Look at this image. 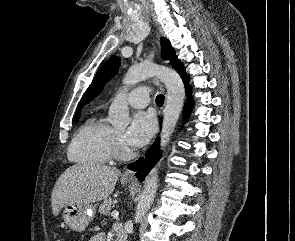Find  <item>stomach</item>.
Here are the masks:
<instances>
[{"instance_id": "stomach-1", "label": "stomach", "mask_w": 295, "mask_h": 241, "mask_svg": "<svg viewBox=\"0 0 295 241\" xmlns=\"http://www.w3.org/2000/svg\"><path fill=\"white\" fill-rule=\"evenodd\" d=\"M123 184L129 181L123 180ZM95 207L91 204L66 205L63 211V219L66 225L73 231H84L95 217Z\"/></svg>"}]
</instances>
